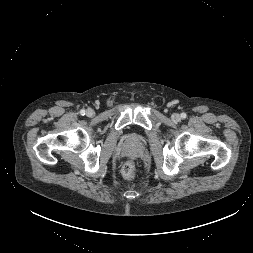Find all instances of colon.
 Wrapping results in <instances>:
<instances>
[{"label": "colon", "instance_id": "obj_1", "mask_svg": "<svg viewBox=\"0 0 253 253\" xmlns=\"http://www.w3.org/2000/svg\"><path fill=\"white\" fill-rule=\"evenodd\" d=\"M122 174L127 179H133L136 176L135 165L132 161H127L122 168Z\"/></svg>", "mask_w": 253, "mask_h": 253}]
</instances>
